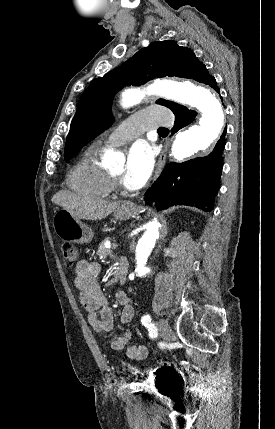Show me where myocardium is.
Instances as JSON below:
<instances>
[{
  "label": "myocardium",
  "instance_id": "f54148a6",
  "mask_svg": "<svg viewBox=\"0 0 275 429\" xmlns=\"http://www.w3.org/2000/svg\"><path fill=\"white\" fill-rule=\"evenodd\" d=\"M108 174L111 180L112 188H114L118 192H123L124 189L122 187L120 179L114 176L111 172H108Z\"/></svg>",
  "mask_w": 275,
  "mask_h": 429
}]
</instances>
